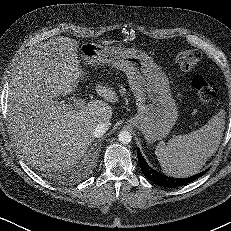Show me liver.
Wrapping results in <instances>:
<instances>
[{"label":"liver","instance_id":"obj_1","mask_svg":"<svg viewBox=\"0 0 231 231\" xmlns=\"http://www.w3.org/2000/svg\"><path fill=\"white\" fill-rule=\"evenodd\" d=\"M77 48L75 39L55 37L30 50L13 71L9 128L32 167L60 170L74 166L94 141L96 125L112 117L113 110L106 101L115 103L118 96L102 84L95 90L104 101L93 100L80 110L60 108L57 98L76 91L79 80L88 73L80 68Z\"/></svg>","mask_w":231,"mask_h":231}]
</instances>
